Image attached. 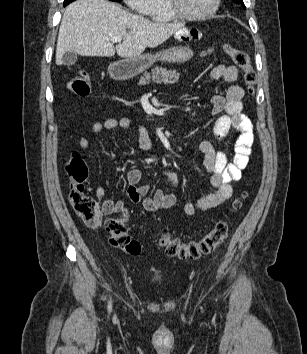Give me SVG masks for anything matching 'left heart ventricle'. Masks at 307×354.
Here are the masks:
<instances>
[{
  "label": "left heart ventricle",
  "mask_w": 307,
  "mask_h": 354,
  "mask_svg": "<svg viewBox=\"0 0 307 354\" xmlns=\"http://www.w3.org/2000/svg\"><path fill=\"white\" fill-rule=\"evenodd\" d=\"M214 0H181V5L186 13L198 15L207 12Z\"/></svg>",
  "instance_id": "b2bd125f"
}]
</instances>
